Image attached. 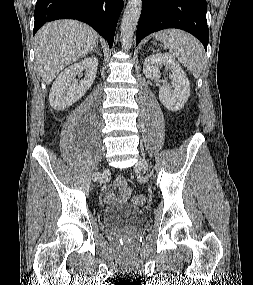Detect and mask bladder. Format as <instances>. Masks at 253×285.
Returning a JSON list of instances; mask_svg holds the SVG:
<instances>
[{"instance_id":"31cf9c89","label":"bladder","mask_w":253,"mask_h":285,"mask_svg":"<svg viewBox=\"0 0 253 285\" xmlns=\"http://www.w3.org/2000/svg\"><path fill=\"white\" fill-rule=\"evenodd\" d=\"M145 220L144 210L132 205L107 208L102 211L103 224L109 229L135 228L142 225Z\"/></svg>"}]
</instances>
